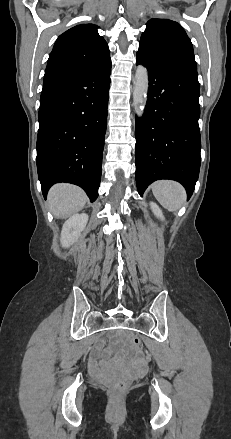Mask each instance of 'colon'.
<instances>
[{"instance_id":"colon-1","label":"colon","mask_w":231,"mask_h":439,"mask_svg":"<svg viewBox=\"0 0 231 439\" xmlns=\"http://www.w3.org/2000/svg\"><path fill=\"white\" fill-rule=\"evenodd\" d=\"M130 342L134 348L139 349L142 347L141 339L136 335L131 337ZM127 384H128L127 378H114V379H112V381L110 383V388L112 390V393L114 395L122 394L124 392Z\"/></svg>"}]
</instances>
